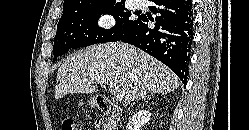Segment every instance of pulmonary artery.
<instances>
[{"instance_id":"e3ab8cb5","label":"pulmonary artery","mask_w":249,"mask_h":130,"mask_svg":"<svg viewBox=\"0 0 249 130\" xmlns=\"http://www.w3.org/2000/svg\"><path fill=\"white\" fill-rule=\"evenodd\" d=\"M136 7H141L143 5V0H135Z\"/></svg>"}]
</instances>
